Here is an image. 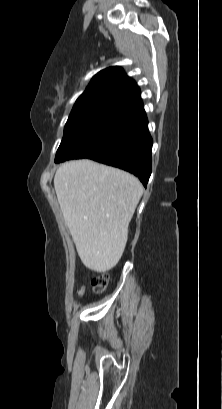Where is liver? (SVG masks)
Masks as SVG:
<instances>
[{"label": "liver", "mask_w": 222, "mask_h": 409, "mask_svg": "<svg viewBox=\"0 0 222 409\" xmlns=\"http://www.w3.org/2000/svg\"><path fill=\"white\" fill-rule=\"evenodd\" d=\"M54 187L82 263L99 273L115 267L143 194L140 181L123 170L82 159L62 164Z\"/></svg>", "instance_id": "liver-1"}]
</instances>
